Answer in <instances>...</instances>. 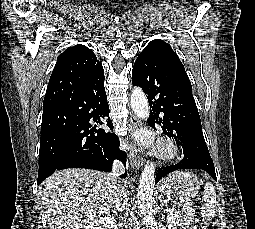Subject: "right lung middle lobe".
Masks as SVG:
<instances>
[{
    "instance_id": "1",
    "label": "right lung middle lobe",
    "mask_w": 255,
    "mask_h": 229,
    "mask_svg": "<svg viewBox=\"0 0 255 229\" xmlns=\"http://www.w3.org/2000/svg\"><path fill=\"white\" fill-rule=\"evenodd\" d=\"M69 118H60L48 122L41 129L39 164L50 168L59 157L65 138L71 125Z\"/></svg>"
}]
</instances>
